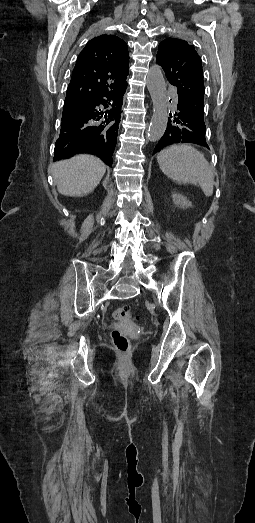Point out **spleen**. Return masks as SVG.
Returning <instances> with one entry per match:
<instances>
[{
  "label": "spleen",
  "instance_id": "1",
  "mask_svg": "<svg viewBox=\"0 0 255 523\" xmlns=\"http://www.w3.org/2000/svg\"><path fill=\"white\" fill-rule=\"evenodd\" d=\"M157 162L165 176L179 184H199L205 196L213 194V174L211 168L198 150L180 144L170 146L157 154Z\"/></svg>",
  "mask_w": 255,
  "mask_h": 523
}]
</instances>
